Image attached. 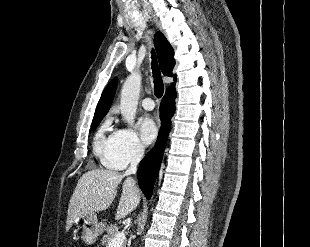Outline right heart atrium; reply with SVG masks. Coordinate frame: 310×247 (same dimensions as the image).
Masks as SVG:
<instances>
[{"mask_svg":"<svg viewBox=\"0 0 310 247\" xmlns=\"http://www.w3.org/2000/svg\"><path fill=\"white\" fill-rule=\"evenodd\" d=\"M144 154V146L137 132L130 127H123L114 133L113 142L106 166L121 169L130 163L139 161Z\"/></svg>","mask_w":310,"mask_h":247,"instance_id":"obj_1","label":"right heart atrium"}]
</instances>
